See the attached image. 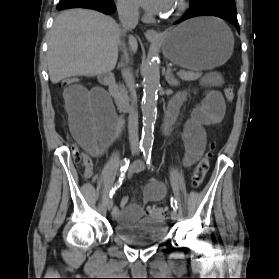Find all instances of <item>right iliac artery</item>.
<instances>
[{
	"instance_id": "82829eb1",
	"label": "right iliac artery",
	"mask_w": 279,
	"mask_h": 279,
	"mask_svg": "<svg viewBox=\"0 0 279 279\" xmlns=\"http://www.w3.org/2000/svg\"><path fill=\"white\" fill-rule=\"evenodd\" d=\"M145 148L146 147L140 146V151H144ZM128 165H129V159L128 158L123 159L122 163H121V169H120L121 170V176H120L119 180L115 183V185L113 186V188L110 191V197L111 198L115 194V191L122 185L123 176H124L125 171L128 168Z\"/></svg>"
}]
</instances>
